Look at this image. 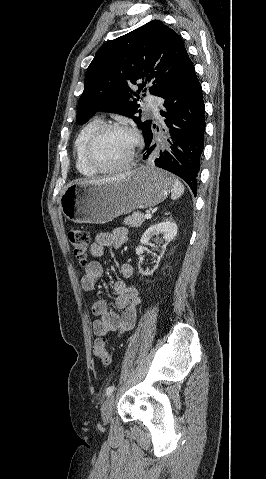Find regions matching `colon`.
Returning a JSON list of instances; mask_svg holds the SVG:
<instances>
[{
    "label": "colon",
    "instance_id": "colon-1",
    "mask_svg": "<svg viewBox=\"0 0 266 479\" xmlns=\"http://www.w3.org/2000/svg\"><path fill=\"white\" fill-rule=\"evenodd\" d=\"M67 238L74 256L83 264L89 263V233L81 228L70 227L67 231ZM94 356L104 365L111 363V356L108 352L106 340L97 338L93 345Z\"/></svg>",
    "mask_w": 266,
    "mask_h": 479
}]
</instances>
